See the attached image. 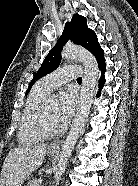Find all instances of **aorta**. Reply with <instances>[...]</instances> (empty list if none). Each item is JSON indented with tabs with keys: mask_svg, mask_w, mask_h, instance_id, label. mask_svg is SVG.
<instances>
[{
	"mask_svg": "<svg viewBox=\"0 0 138 186\" xmlns=\"http://www.w3.org/2000/svg\"><path fill=\"white\" fill-rule=\"evenodd\" d=\"M61 56L64 60H77L82 62L84 65L85 74L81 85L77 112L72 122L70 131L64 141L63 148L60 153V159L54 174V179L56 181L55 186L59 184L74 146L85 127L88 115L90 113L94 89L99 73L98 64L95 57L84 48L77 46L65 47Z\"/></svg>",
	"mask_w": 138,
	"mask_h": 186,
	"instance_id": "obj_1",
	"label": "aorta"
}]
</instances>
